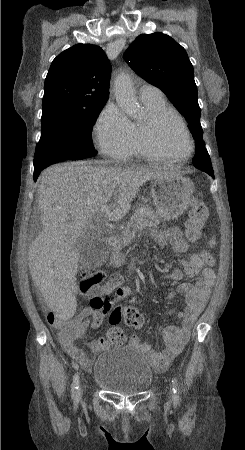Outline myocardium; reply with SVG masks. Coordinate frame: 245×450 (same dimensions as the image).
Listing matches in <instances>:
<instances>
[{"label":"myocardium","mask_w":245,"mask_h":450,"mask_svg":"<svg viewBox=\"0 0 245 450\" xmlns=\"http://www.w3.org/2000/svg\"><path fill=\"white\" fill-rule=\"evenodd\" d=\"M168 121L175 122L181 128V130L184 132V134L187 138V141L189 143V146H190V150L187 154L182 155V156H174V155L167 153L161 146L160 141H159L160 132H161V129L164 127V125ZM143 136H144L145 146H146L148 152L154 157H159V158H164V159L187 160L193 155V153L195 151L194 141L191 137V134H190L188 128L186 127V125L184 123L180 122L177 118H175L171 114H160L156 117L150 118L143 128Z\"/></svg>","instance_id":"f54148a6"}]
</instances>
